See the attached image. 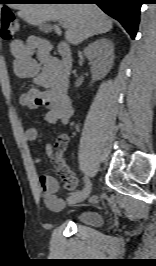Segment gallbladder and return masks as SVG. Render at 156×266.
<instances>
[{
    "mask_svg": "<svg viewBox=\"0 0 156 266\" xmlns=\"http://www.w3.org/2000/svg\"><path fill=\"white\" fill-rule=\"evenodd\" d=\"M39 30L44 32V33H48L51 31V26L48 23H42L41 25H39Z\"/></svg>",
    "mask_w": 156,
    "mask_h": 266,
    "instance_id": "gallbladder-1",
    "label": "gallbladder"
}]
</instances>
